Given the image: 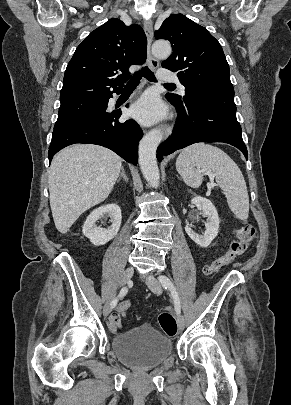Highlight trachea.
<instances>
[{"mask_svg":"<svg viewBox=\"0 0 291 405\" xmlns=\"http://www.w3.org/2000/svg\"><path fill=\"white\" fill-rule=\"evenodd\" d=\"M142 77H145L150 82L156 81L154 73L147 66H145L134 74L132 79L126 84L125 89L137 87ZM164 85L174 86L172 83H165Z\"/></svg>","mask_w":291,"mask_h":405,"instance_id":"obj_1","label":"trachea"}]
</instances>
